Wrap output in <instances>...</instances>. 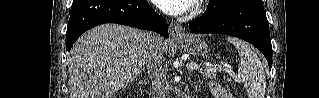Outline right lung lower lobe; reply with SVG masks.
<instances>
[{"mask_svg": "<svg viewBox=\"0 0 319 98\" xmlns=\"http://www.w3.org/2000/svg\"><path fill=\"white\" fill-rule=\"evenodd\" d=\"M118 23L155 31L168 38L165 20L146 0H73L66 32V50L88 29Z\"/></svg>", "mask_w": 319, "mask_h": 98, "instance_id": "98d812e1", "label": "right lung lower lobe"}]
</instances>
